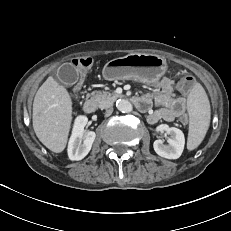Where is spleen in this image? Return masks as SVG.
<instances>
[{
    "label": "spleen",
    "mask_w": 231,
    "mask_h": 231,
    "mask_svg": "<svg viewBox=\"0 0 231 231\" xmlns=\"http://www.w3.org/2000/svg\"><path fill=\"white\" fill-rule=\"evenodd\" d=\"M190 117L187 148L193 150L203 141L210 124V103L203 87L196 83L187 99Z\"/></svg>",
    "instance_id": "3e777b00"
}]
</instances>
